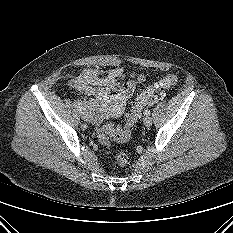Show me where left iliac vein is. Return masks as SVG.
I'll return each instance as SVG.
<instances>
[{
  "label": "left iliac vein",
  "mask_w": 233,
  "mask_h": 233,
  "mask_svg": "<svg viewBox=\"0 0 233 233\" xmlns=\"http://www.w3.org/2000/svg\"><path fill=\"white\" fill-rule=\"evenodd\" d=\"M143 123L145 126L150 127L152 125V118L149 116H146L143 120Z\"/></svg>",
  "instance_id": "1"
}]
</instances>
